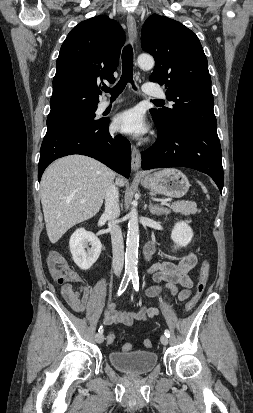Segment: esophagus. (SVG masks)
Masks as SVG:
<instances>
[{"label":"esophagus","mask_w":253,"mask_h":413,"mask_svg":"<svg viewBox=\"0 0 253 413\" xmlns=\"http://www.w3.org/2000/svg\"><path fill=\"white\" fill-rule=\"evenodd\" d=\"M127 28L128 34L131 42L135 44L137 42V26L136 21L132 15L127 16ZM141 165V153L140 150L136 147H132V158H131V167L132 170L136 173L140 172Z\"/></svg>","instance_id":"obj_1"}]
</instances>
